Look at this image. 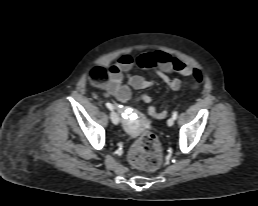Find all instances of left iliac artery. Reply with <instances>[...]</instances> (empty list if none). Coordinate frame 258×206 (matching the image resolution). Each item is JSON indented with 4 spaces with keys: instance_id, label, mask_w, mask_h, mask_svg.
<instances>
[{
    "instance_id": "obj_1",
    "label": "left iliac artery",
    "mask_w": 258,
    "mask_h": 206,
    "mask_svg": "<svg viewBox=\"0 0 258 206\" xmlns=\"http://www.w3.org/2000/svg\"><path fill=\"white\" fill-rule=\"evenodd\" d=\"M177 116H178V112H177V111H174L172 117H173L174 119H177Z\"/></svg>"
}]
</instances>
